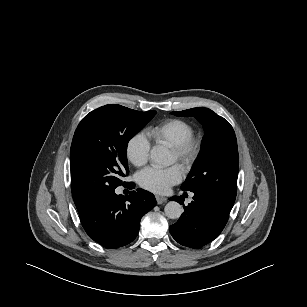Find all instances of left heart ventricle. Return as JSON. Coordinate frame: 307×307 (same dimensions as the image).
Wrapping results in <instances>:
<instances>
[{
  "mask_svg": "<svg viewBox=\"0 0 307 307\" xmlns=\"http://www.w3.org/2000/svg\"><path fill=\"white\" fill-rule=\"evenodd\" d=\"M175 161H176L175 155L172 153V162H175Z\"/></svg>",
  "mask_w": 307,
  "mask_h": 307,
  "instance_id": "left-heart-ventricle-1",
  "label": "left heart ventricle"
}]
</instances>
